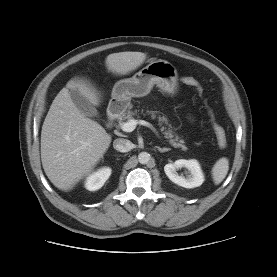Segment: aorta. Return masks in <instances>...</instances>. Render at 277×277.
I'll return each instance as SVG.
<instances>
[{"label":"aorta","mask_w":277,"mask_h":277,"mask_svg":"<svg viewBox=\"0 0 277 277\" xmlns=\"http://www.w3.org/2000/svg\"><path fill=\"white\" fill-rule=\"evenodd\" d=\"M151 156L149 153L147 152H141L139 153L138 155V161L141 163V164H147L150 160Z\"/></svg>","instance_id":"762f6f07"}]
</instances>
